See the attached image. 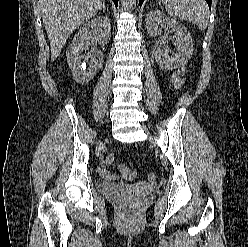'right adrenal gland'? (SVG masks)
Returning <instances> with one entry per match:
<instances>
[{
	"label": "right adrenal gland",
	"mask_w": 248,
	"mask_h": 247,
	"mask_svg": "<svg viewBox=\"0 0 248 247\" xmlns=\"http://www.w3.org/2000/svg\"><path fill=\"white\" fill-rule=\"evenodd\" d=\"M102 10H103V12L105 13V11H106L105 2H103L102 6H101V8H100V11H102Z\"/></svg>",
	"instance_id": "2a0ac1e0"
}]
</instances>
